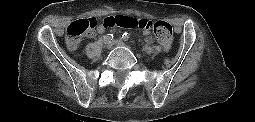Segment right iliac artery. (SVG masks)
Returning <instances> with one entry per match:
<instances>
[{"label":"right iliac artery","mask_w":255,"mask_h":122,"mask_svg":"<svg viewBox=\"0 0 255 122\" xmlns=\"http://www.w3.org/2000/svg\"><path fill=\"white\" fill-rule=\"evenodd\" d=\"M114 35L112 33H109L107 35L104 36L103 40L105 44H108L112 41Z\"/></svg>","instance_id":"right-iliac-artery-1"}]
</instances>
